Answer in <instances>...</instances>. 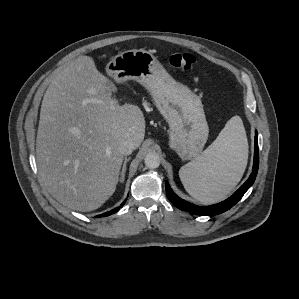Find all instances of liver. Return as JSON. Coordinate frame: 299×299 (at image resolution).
<instances>
[{"instance_id":"6515ba94","label":"liver","mask_w":299,"mask_h":299,"mask_svg":"<svg viewBox=\"0 0 299 299\" xmlns=\"http://www.w3.org/2000/svg\"><path fill=\"white\" fill-rule=\"evenodd\" d=\"M113 84L90 56L72 60L50 83L40 111L36 161L50 195L69 209L88 212L115 192L123 154L141 145L145 118L138 106L119 105ZM97 99L101 103L85 102Z\"/></svg>"}]
</instances>
